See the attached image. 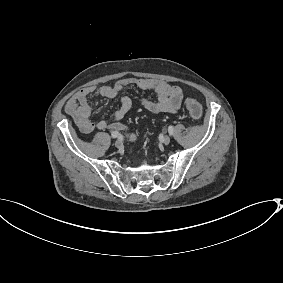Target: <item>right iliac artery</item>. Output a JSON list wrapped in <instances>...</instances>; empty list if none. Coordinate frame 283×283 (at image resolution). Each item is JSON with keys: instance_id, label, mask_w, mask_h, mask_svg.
Returning <instances> with one entry per match:
<instances>
[{"instance_id": "1", "label": "right iliac artery", "mask_w": 283, "mask_h": 283, "mask_svg": "<svg viewBox=\"0 0 283 283\" xmlns=\"http://www.w3.org/2000/svg\"><path fill=\"white\" fill-rule=\"evenodd\" d=\"M120 136V133L118 132V131H113L112 133H111V137L112 138H117V137H119Z\"/></svg>"}]
</instances>
